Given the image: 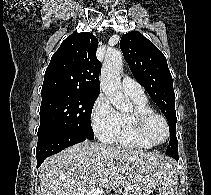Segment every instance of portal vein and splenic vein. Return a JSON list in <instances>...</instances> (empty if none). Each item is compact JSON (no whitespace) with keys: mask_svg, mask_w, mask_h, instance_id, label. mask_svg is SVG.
<instances>
[{"mask_svg":"<svg viewBox=\"0 0 211 195\" xmlns=\"http://www.w3.org/2000/svg\"><path fill=\"white\" fill-rule=\"evenodd\" d=\"M105 190L104 189H98V190H93L91 192H89L88 195H103L105 194Z\"/></svg>","mask_w":211,"mask_h":195,"instance_id":"obj_1","label":"portal vein and splenic vein"}]
</instances>
